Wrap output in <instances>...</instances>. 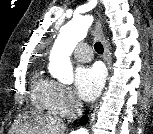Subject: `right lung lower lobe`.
<instances>
[{"label": "right lung lower lobe", "mask_w": 153, "mask_h": 134, "mask_svg": "<svg viewBox=\"0 0 153 134\" xmlns=\"http://www.w3.org/2000/svg\"><path fill=\"white\" fill-rule=\"evenodd\" d=\"M87 122V116H84L81 121H80V124L83 125Z\"/></svg>", "instance_id": "obj_1"}]
</instances>
